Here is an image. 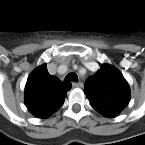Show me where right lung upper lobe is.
Returning a JSON list of instances; mask_svg holds the SVG:
<instances>
[{
  "label": "right lung upper lobe",
  "mask_w": 145,
  "mask_h": 145,
  "mask_svg": "<svg viewBox=\"0 0 145 145\" xmlns=\"http://www.w3.org/2000/svg\"><path fill=\"white\" fill-rule=\"evenodd\" d=\"M70 82H62L48 73L46 64L29 75L25 87V105L38 118H47L64 103Z\"/></svg>",
  "instance_id": "right-lung-upper-lobe-1"
}]
</instances>
